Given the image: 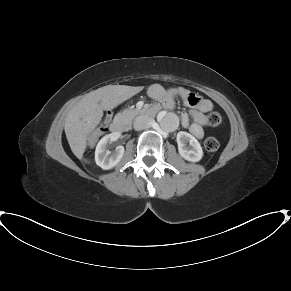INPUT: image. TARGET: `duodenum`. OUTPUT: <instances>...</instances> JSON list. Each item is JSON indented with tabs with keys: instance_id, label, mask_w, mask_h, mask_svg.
<instances>
[{
	"instance_id": "1",
	"label": "duodenum",
	"mask_w": 291,
	"mask_h": 291,
	"mask_svg": "<svg viewBox=\"0 0 291 291\" xmlns=\"http://www.w3.org/2000/svg\"><path fill=\"white\" fill-rule=\"evenodd\" d=\"M159 107L152 105L144 110V114L148 116H155V114L158 112ZM126 130V121L122 118L116 119L111 124V131L115 134H120L125 132Z\"/></svg>"
}]
</instances>
